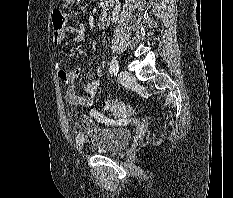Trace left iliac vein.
Segmentation results:
<instances>
[{
    "label": "left iliac vein",
    "mask_w": 233,
    "mask_h": 198,
    "mask_svg": "<svg viewBox=\"0 0 233 198\" xmlns=\"http://www.w3.org/2000/svg\"><path fill=\"white\" fill-rule=\"evenodd\" d=\"M120 82L125 86H130L135 82V78L129 71H120L118 74Z\"/></svg>",
    "instance_id": "1"
}]
</instances>
